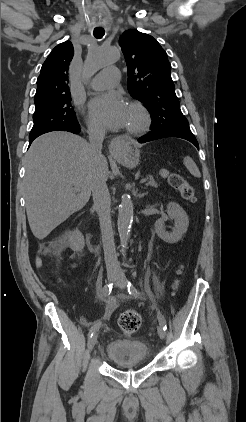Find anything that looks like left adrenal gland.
Instances as JSON below:
<instances>
[{
	"label": "left adrenal gland",
	"mask_w": 246,
	"mask_h": 422,
	"mask_svg": "<svg viewBox=\"0 0 246 422\" xmlns=\"http://www.w3.org/2000/svg\"><path fill=\"white\" fill-rule=\"evenodd\" d=\"M145 195H147V192H145V193H139V198H142V197H144Z\"/></svg>",
	"instance_id": "left-adrenal-gland-1"
}]
</instances>
